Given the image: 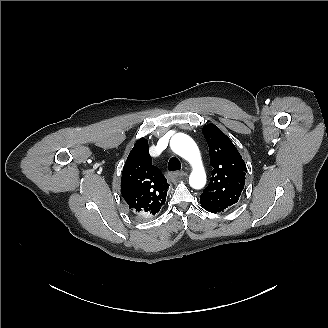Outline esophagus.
I'll return each instance as SVG.
<instances>
[{
	"instance_id": "34e87169",
	"label": "esophagus",
	"mask_w": 328,
	"mask_h": 328,
	"mask_svg": "<svg viewBox=\"0 0 328 328\" xmlns=\"http://www.w3.org/2000/svg\"><path fill=\"white\" fill-rule=\"evenodd\" d=\"M186 173L184 172H178V171H175V172H170L168 173V177L169 179H179V178H182L183 176H185Z\"/></svg>"
}]
</instances>
